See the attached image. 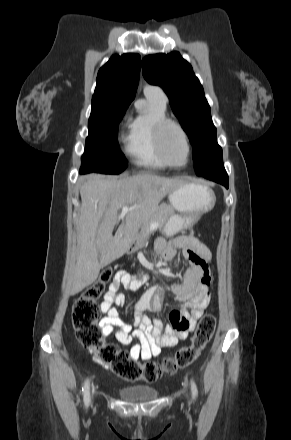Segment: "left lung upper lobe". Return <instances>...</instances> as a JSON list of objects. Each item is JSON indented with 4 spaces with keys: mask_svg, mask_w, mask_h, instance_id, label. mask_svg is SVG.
Masks as SVG:
<instances>
[{
    "mask_svg": "<svg viewBox=\"0 0 291 440\" xmlns=\"http://www.w3.org/2000/svg\"><path fill=\"white\" fill-rule=\"evenodd\" d=\"M145 80L161 86L169 96L171 108L188 134L193 147L197 175L222 161L209 104L191 65L179 52L148 55L142 60Z\"/></svg>",
    "mask_w": 291,
    "mask_h": 440,
    "instance_id": "1",
    "label": "left lung upper lobe"
}]
</instances>
